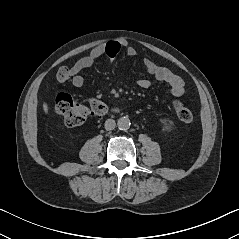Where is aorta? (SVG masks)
<instances>
[{"mask_svg":"<svg viewBox=\"0 0 239 239\" xmlns=\"http://www.w3.org/2000/svg\"><path fill=\"white\" fill-rule=\"evenodd\" d=\"M131 123L129 118L122 117L118 120L117 126L120 130H127L130 127Z\"/></svg>","mask_w":239,"mask_h":239,"instance_id":"1","label":"aorta"}]
</instances>
